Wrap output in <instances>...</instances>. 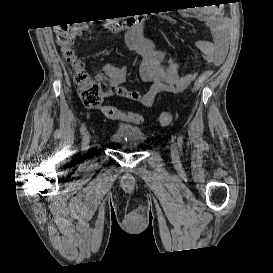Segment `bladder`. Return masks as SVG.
Returning <instances> with one entry per match:
<instances>
[{
    "instance_id": "bladder-1",
    "label": "bladder",
    "mask_w": 273,
    "mask_h": 273,
    "mask_svg": "<svg viewBox=\"0 0 273 273\" xmlns=\"http://www.w3.org/2000/svg\"><path fill=\"white\" fill-rule=\"evenodd\" d=\"M110 141L124 150H135L146 142V135L136 126L120 124L110 136Z\"/></svg>"
}]
</instances>
